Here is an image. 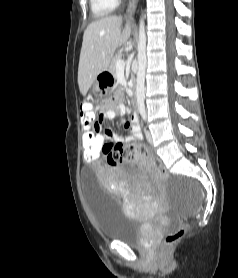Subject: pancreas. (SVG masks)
Masks as SVG:
<instances>
[{
	"label": "pancreas",
	"instance_id": "obj_1",
	"mask_svg": "<svg viewBox=\"0 0 238 278\" xmlns=\"http://www.w3.org/2000/svg\"><path fill=\"white\" fill-rule=\"evenodd\" d=\"M122 58V54L118 52L111 60L110 66H109V72L116 77L117 75V68H116V62Z\"/></svg>",
	"mask_w": 238,
	"mask_h": 278
}]
</instances>
